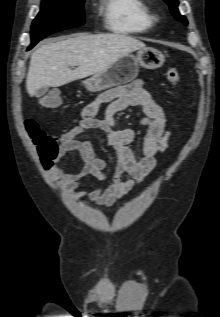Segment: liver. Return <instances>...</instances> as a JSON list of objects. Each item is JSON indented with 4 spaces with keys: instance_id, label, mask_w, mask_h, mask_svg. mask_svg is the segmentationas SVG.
<instances>
[{
    "instance_id": "obj_1",
    "label": "liver",
    "mask_w": 220,
    "mask_h": 317,
    "mask_svg": "<svg viewBox=\"0 0 220 317\" xmlns=\"http://www.w3.org/2000/svg\"><path fill=\"white\" fill-rule=\"evenodd\" d=\"M146 48L121 34H77L40 46L30 59L26 89L30 97L42 87H60L107 70L118 59ZM70 66H77L71 70Z\"/></svg>"
}]
</instances>
